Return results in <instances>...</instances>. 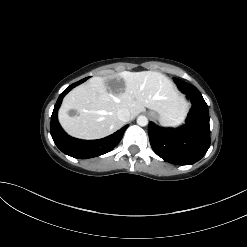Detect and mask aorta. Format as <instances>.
Listing matches in <instances>:
<instances>
[{
    "instance_id": "1",
    "label": "aorta",
    "mask_w": 247,
    "mask_h": 247,
    "mask_svg": "<svg viewBox=\"0 0 247 247\" xmlns=\"http://www.w3.org/2000/svg\"><path fill=\"white\" fill-rule=\"evenodd\" d=\"M137 124L140 126H146L148 124V119L146 116L140 115L137 118Z\"/></svg>"
}]
</instances>
